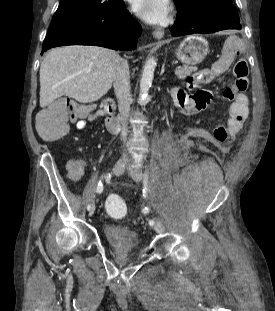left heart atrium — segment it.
Segmentation results:
<instances>
[{"instance_id": "obj_1", "label": "left heart atrium", "mask_w": 275, "mask_h": 311, "mask_svg": "<svg viewBox=\"0 0 275 311\" xmlns=\"http://www.w3.org/2000/svg\"><path fill=\"white\" fill-rule=\"evenodd\" d=\"M132 10L150 24H164L169 19V0H131Z\"/></svg>"}]
</instances>
